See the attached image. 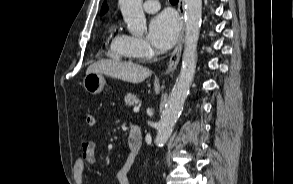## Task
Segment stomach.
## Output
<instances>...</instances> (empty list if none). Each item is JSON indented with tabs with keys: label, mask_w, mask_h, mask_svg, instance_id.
<instances>
[{
	"label": "stomach",
	"mask_w": 293,
	"mask_h": 184,
	"mask_svg": "<svg viewBox=\"0 0 293 184\" xmlns=\"http://www.w3.org/2000/svg\"><path fill=\"white\" fill-rule=\"evenodd\" d=\"M106 85L105 78L101 73H89L83 79V86L90 94L100 93Z\"/></svg>",
	"instance_id": "1"
}]
</instances>
